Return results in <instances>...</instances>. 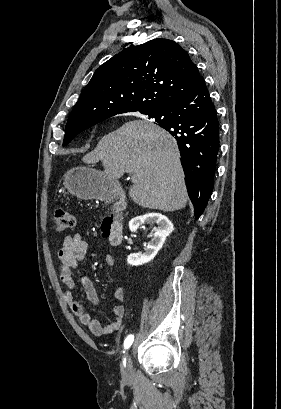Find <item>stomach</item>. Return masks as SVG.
Listing matches in <instances>:
<instances>
[{"label":"stomach","instance_id":"1","mask_svg":"<svg viewBox=\"0 0 281 409\" xmlns=\"http://www.w3.org/2000/svg\"><path fill=\"white\" fill-rule=\"evenodd\" d=\"M64 186L71 194L78 198H98V200H113L118 198L121 184L116 178H109L105 172L89 168V166H75L64 174Z\"/></svg>","mask_w":281,"mask_h":409}]
</instances>
